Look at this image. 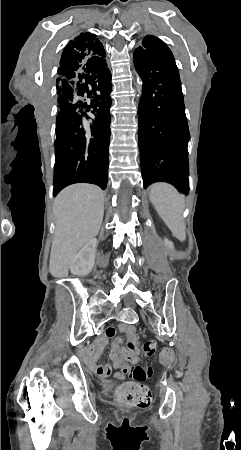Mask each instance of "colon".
I'll return each instance as SVG.
<instances>
[{"label":"colon","instance_id":"obj_1","mask_svg":"<svg viewBox=\"0 0 241 450\" xmlns=\"http://www.w3.org/2000/svg\"><path fill=\"white\" fill-rule=\"evenodd\" d=\"M156 351V343L154 340H146L142 346V353L144 356H152ZM172 349L169 346L164 347L160 353V361L163 363L168 362L169 354ZM124 373L132 378L136 382H140L151 378L153 371L150 366L132 365L125 366ZM108 396L109 398L127 408L132 409H147L152 403V394L149 388L142 384L127 383L123 385L109 386Z\"/></svg>","mask_w":241,"mask_h":450}]
</instances>
